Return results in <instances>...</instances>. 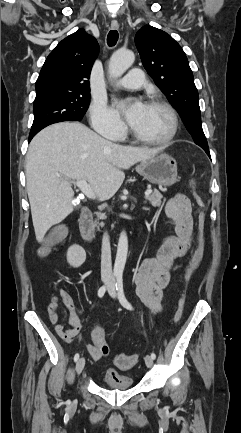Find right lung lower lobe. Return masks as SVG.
I'll return each instance as SVG.
<instances>
[{"instance_id":"right-lung-lower-lobe-1","label":"right lung lower lobe","mask_w":241,"mask_h":433,"mask_svg":"<svg viewBox=\"0 0 241 433\" xmlns=\"http://www.w3.org/2000/svg\"><path fill=\"white\" fill-rule=\"evenodd\" d=\"M36 134H30L29 135V142L31 141V139L35 136Z\"/></svg>"}]
</instances>
